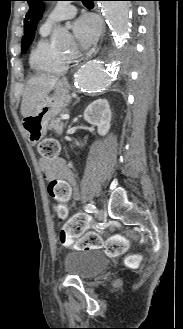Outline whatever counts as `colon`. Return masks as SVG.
<instances>
[{"instance_id":"obj_1","label":"colon","mask_w":183,"mask_h":329,"mask_svg":"<svg viewBox=\"0 0 183 329\" xmlns=\"http://www.w3.org/2000/svg\"><path fill=\"white\" fill-rule=\"evenodd\" d=\"M40 156L47 160H54L59 156L60 146L57 140L46 138L38 145ZM58 210V208H57ZM61 220V218H60ZM88 219L79 215L65 223L60 230L61 240L78 239L77 246L81 249L103 248L104 252L110 257H116L123 254L128 247L127 240L121 235H114L105 242L101 237L92 231V224H88ZM141 260L139 255H130L125 259V263L131 266L137 265Z\"/></svg>"}]
</instances>
